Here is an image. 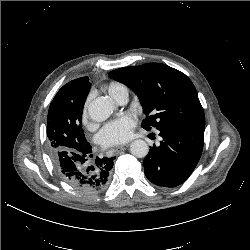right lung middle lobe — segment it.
<instances>
[{
	"mask_svg": "<svg viewBox=\"0 0 250 250\" xmlns=\"http://www.w3.org/2000/svg\"><path fill=\"white\" fill-rule=\"evenodd\" d=\"M90 88V86H89ZM87 97L72 104L56 96L48 111L47 137L51 157L60 151L80 152L90 144L82 129V112Z\"/></svg>",
	"mask_w": 250,
	"mask_h": 250,
	"instance_id": "right-lung-middle-lobe-1",
	"label": "right lung middle lobe"
}]
</instances>
